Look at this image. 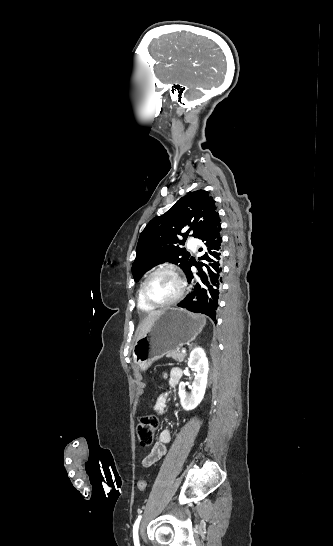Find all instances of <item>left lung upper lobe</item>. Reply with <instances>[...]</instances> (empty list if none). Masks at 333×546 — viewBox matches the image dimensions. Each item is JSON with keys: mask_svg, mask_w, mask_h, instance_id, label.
Wrapping results in <instances>:
<instances>
[{"mask_svg": "<svg viewBox=\"0 0 333 546\" xmlns=\"http://www.w3.org/2000/svg\"><path fill=\"white\" fill-rule=\"evenodd\" d=\"M216 215L214 199L207 191L197 190L179 199L165 214L153 218L138 240L132 265L134 280L139 281L144 273L164 262L179 264L187 273L191 267L190 254L178 244H184L190 231L198 238ZM183 230L186 233L180 241L177 235H182Z\"/></svg>", "mask_w": 333, "mask_h": 546, "instance_id": "obj_1", "label": "left lung upper lobe"}]
</instances>
